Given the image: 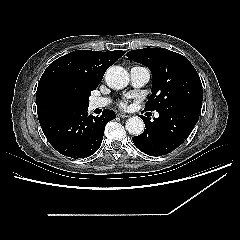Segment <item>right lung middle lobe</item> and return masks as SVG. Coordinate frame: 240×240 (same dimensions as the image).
Wrapping results in <instances>:
<instances>
[{"label": "right lung middle lobe", "instance_id": "dd1d6c3e", "mask_svg": "<svg viewBox=\"0 0 240 240\" xmlns=\"http://www.w3.org/2000/svg\"><path fill=\"white\" fill-rule=\"evenodd\" d=\"M93 89L88 88L81 91L67 90L64 92V98L74 108H87L89 105V96Z\"/></svg>", "mask_w": 240, "mask_h": 240}]
</instances>
